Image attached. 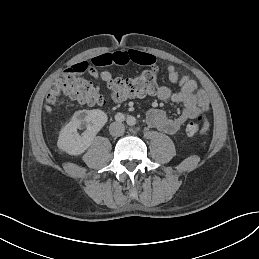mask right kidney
Segmentation results:
<instances>
[{
    "mask_svg": "<svg viewBox=\"0 0 259 259\" xmlns=\"http://www.w3.org/2000/svg\"><path fill=\"white\" fill-rule=\"evenodd\" d=\"M107 122V115L99 109L76 111L71 121L60 131L57 145L70 155L82 154L95 135ZM86 127L80 136L77 129Z\"/></svg>",
    "mask_w": 259,
    "mask_h": 259,
    "instance_id": "right-kidney-1",
    "label": "right kidney"
}]
</instances>
